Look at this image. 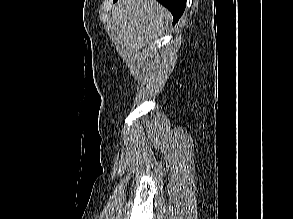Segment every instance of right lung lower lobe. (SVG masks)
Returning a JSON list of instances; mask_svg holds the SVG:
<instances>
[{
  "label": "right lung lower lobe",
  "mask_w": 293,
  "mask_h": 219,
  "mask_svg": "<svg viewBox=\"0 0 293 219\" xmlns=\"http://www.w3.org/2000/svg\"><path fill=\"white\" fill-rule=\"evenodd\" d=\"M157 1H159L165 7H167L168 10L172 13L174 24L179 20V18L183 14L186 7V0H157Z\"/></svg>",
  "instance_id": "obj_1"
}]
</instances>
